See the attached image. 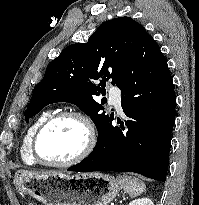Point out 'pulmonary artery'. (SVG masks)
<instances>
[{
	"instance_id": "1",
	"label": "pulmonary artery",
	"mask_w": 199,
	"mask_h": 205,
	"mask_svg": "<svg viewBox=\"0 0 199 205\" xmlns=\"http://www.w3.org/2000/svg\"><path fill=\"white\" fill-rule=\"evenodd\" d=\"M110 103L115 106L118 111H121V92L119 89L114 88L110 90L109 94Z\"/></svg>"
}]
</instances>
